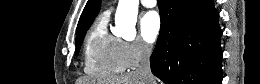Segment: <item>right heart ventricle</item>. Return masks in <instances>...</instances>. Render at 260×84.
I'll use <instances>...</instances> for the list:
<instances>
[{"label": "right heart ventricle", "instance_id": "right-heart-ventricle-1", "mask_svg": "<svg viewBox=\"0 0 260 84\" xmlns=\"http://www.w3.org/2000/svg\"><path fill=\"white\" fill-rule=\"evenodd\" d=\"M108 13H104L90 30L84 47V71L96 78L122 73L125 65L120 55V39L107 29Z\"/></svg>", "mask_w": 260, "mask_h": 84}]
</instances>
